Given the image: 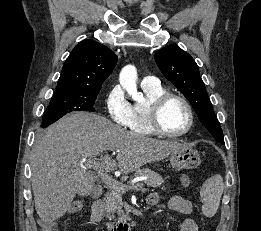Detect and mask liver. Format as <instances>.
<instances>
[{
  "mask_svg": "<svg viewBox=\"0 0 261 231\" xmlns=\"http://www.w3.org/2000/svg\"><path fill=\"white\" fill-rule=\"evenodd\" d=\"M182 146L129 132L96 114H68L35 141L31 181L37 214L43 222H53L67 212L76 194L87 196L96 191L100 176L87 171L88 160L107 150L117 152L116 161L105 155L100 159L101 169L109 173L119 168L127 174Z\"/></svg>",
  "mask_w": 261,
  "mask_h": 231,
  "instance_id": "obj_1",
  "label": "liver"
}]
</instances>
